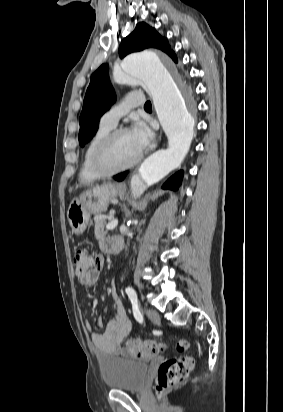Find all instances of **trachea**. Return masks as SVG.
Here are the masks:
<instances>
[{
    "instance_id": "obj_1",
    "label": "trachea",
    "mask_w": 283,
    "mask_h": 412,
    "mask_svg": "<svg viewBox=\"0 0 283 412\" xmlns=\"http://www.w3.org/2000/svg\"><path fill=\"white\" fill-rule=\"evenodd\" d=\"M152 106H151V102L150 101H147L146 103H145V105H144V108L145 109H149V108H151Z\"/></svg>"
}]
</instances>
